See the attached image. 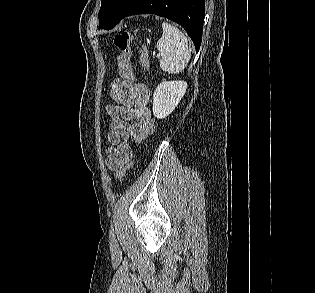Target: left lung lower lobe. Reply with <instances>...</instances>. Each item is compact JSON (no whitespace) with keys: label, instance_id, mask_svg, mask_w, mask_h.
I'll return each mask as SVG.
<instances>
[{"label":"left lung lower lobe","instance_id":"obj_1","mask_svg":"<svg viewBox=\"0 0 315 293\" xmlns=\"http://www.w3.org/2000/svg\"><path fill=\"white\" fill-rule=\"evenodd\" d=\"M204 0H140L126 15L156 14L181 25L198 52L203 31Z\"/></svg>","mask_w":315,"mask_h":293}]
</instances>
